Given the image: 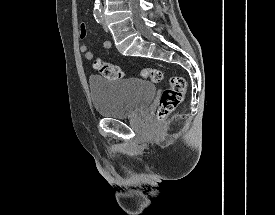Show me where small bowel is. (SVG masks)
Segmentation results:
<instances>
[{"label":"small bowel","mask_w":275,"mask_h":215,"mask_svg":"<svg viewBox=\"0 0 275 215\" xmlns=\"http://www.w3.org/2000/svg\"><path fill=\"white\" fill-rule=\"evenodd\" d=\"M87 36V27L85 23L80 24L78 29V37L80 39H84ZM112 43L110 41H104L102 44L103 49H109ZM79 52L84 56L87 60H92L94 58V53L86 46L81 45L79 47Z\"/></svg>","instance_id":"c3829d8e"}]
</instances>
